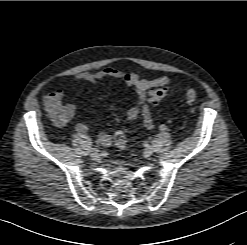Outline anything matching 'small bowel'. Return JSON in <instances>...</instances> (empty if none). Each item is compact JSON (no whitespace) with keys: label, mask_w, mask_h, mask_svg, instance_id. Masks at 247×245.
Here are the masks:
<instances>
[{"label":"small bowel","mask_w":247,"mask_h":245,"mask_svg":"<svg viewBox=\"0 0 247 245\" xmlns=\"http://www.w3.org/2000/svg\"><path fill=\"white\" fill-rule=\"evenodd\" d=\"M113 78L122 80L127 86L132 88L136 94V98L127 111V118L135 120L141 118L142 124L147 131L154 127L151 110L147 103V92L152 88H163L171 82L168 76H160L154 79H144L139 70L125 72L112 67H105L95 72H81L74 78V84H89L97 87L100 81ZM64 92L57 89L44 98L45 107L49 112L52 109L59 107L64 110L65 116L62 120H55L56 123L63 125L68 123L75 115V106L73 104L63 103ZM78 134H85L88 132L89 127L85 123H77L74 126ZM98 141L103 147H108L112 143V138L107 133H100Z\"/></svg>","instance_id":"small-bowel-1"}]
</instances>
